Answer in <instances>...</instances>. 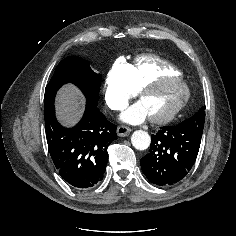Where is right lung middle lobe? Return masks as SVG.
Listing matches in <instances>:
<instances>
[{"instance_id": "1", "label": "right lung middle lobe", "mask_w": 236, "mask_h": 236, "mask_svg": "<svg viewBox=\"0 0 236 236\" xmlns=\"http://www.w3.org/2000/svg\"><path fill=\"white\" fill-rule=\"evenodd\" d=\"M67 83L76 86L84 95L87 107L97 106L101 74L95 73L87 61L77 56L63 59L56 67L53 77L46 86L44 112L54 111L58 89Z\"/></svg>"}]
</instances>
